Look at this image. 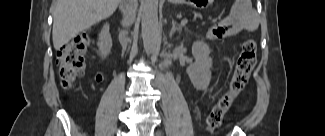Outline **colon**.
<instances>
[{
    "label": "colon",
    "instance_id": "5ec220e1",
    "mask_svg": "<svg viewBox=\"0 0 325 136\" xmlns=\"http://www.w3.org/2000/svg\"><path fill=\"white\" fill-rule=\"evenodd\" d=\"M92 45L89 35L80 34L65 44L57 56V65L60 74L62 87H71L85 71V57ZM257 45L253 39L247 38L241 46V51L237 59L235 71L231 78L228 91L216 102L211 109L206 128L213 132L218 128L222 120L230 109L234 99L245 88L250 73L256 63Z\"/></svg>",
    "mask_w": 325,
    "mask_h": 136
}]
</instances>
